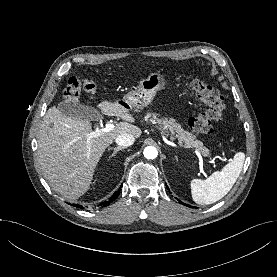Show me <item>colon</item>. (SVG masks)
Segmentation results:
<instances>
[{
    "label": "colon",
    "mask_w": 277,
    "mask_h": 277,
    "mask_svg": "<svg viewBox=\"0 0 277 277\" xmlns=\"http://www.w3.org/2000/svg\"><path fill=\"white\" fill-rule=\"evenodd\" d=\"M189 86L206 106L203 112L189 119V128L198 134H210L214 124L221 122L224 118L226 109L224 97L216 88L202 79H190ZM82 91L94 94L97 92V85L92 80L72 77L64 89V98L68 102H77Z\"/></svg>",
    "instance_id": "colon-1"
}]
</instances>
